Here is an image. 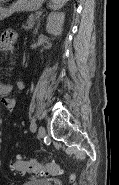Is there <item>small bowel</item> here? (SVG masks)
<instances>
[{
	"mask_svg": "<svg viewBox=\"0 0 119 185\" xmlns=\"http://www.w3.org/2000/svg\"><path fill=\"white\" fill-rule=\"evenodd\" d=\"M16 39V33L14 31H5L1 35L0 48L3 51H11L14 49V41ZM17 87L19 89L24 88V82L18 81ZM12 87L8 84L2 83L0 85V96L2 103L8 111H12L17 104V100L14 97L10 96Z\"/></svg>",
	"mask_w": 119,
	"mask_h": 185,
	"instance_id": "obj_1",
	"label": "small bowel"
}]
</instances>
